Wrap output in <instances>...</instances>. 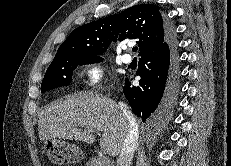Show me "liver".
Returning <instances> with one entry per match:
<instances>
[{"instance_id":"1","label":"liver","mask_w":231,"mask_h":166,"mask_svg":"<svg viewBox=\"0 0 231 166\" xmlns=\"http://www.w3.org/2000/svg\"><path fill=\"white\" fill-rule=\"evenodd\" d=\"M129 123L119 105L112 99L93 92H79L50 103L38 114L41 141L69 139L95 142V132H103L101 148L110 156L120 154Z\"/></svg>"}]
</instances>
